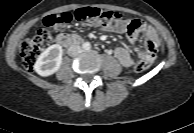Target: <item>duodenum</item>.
Wrapping results in <instances>:
<instances>
[{
  "label": "duodenum",
  "mask_w": 194,
  "mask_h": 133,
  "mask_svg": "<svg viewBox=\"0 0 194 133\" xmlns=\"http://www.w3.org/2000/svg\"><path fill=\"white\" fill-rule=\"evenodd\" d=\"M56 43L63 47H71L82 43V39L76 35L59 34L56 39Z\"/></svg>",
  "instance_id": "1"
}]
</instances>
